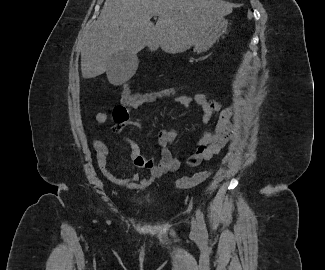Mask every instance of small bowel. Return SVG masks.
Instances as JSON below:
<instances>
[{
  "label": "small bowel",
  "instance_id": "c3829d8e",
  "mask_svg": "<svg viewBox=\"0 0 325 270\" xmlns=\"http://www.w3.org/2000/svg\"><path fill=\"white\" fill-rule=\"evenodd\" d=\"M134 96H147L144 93H137ZM168 97V96H165ZM176 103L183 109H190L193 103H197L202 109L201 125L203 129L196 144L195 151L189 156L187 163L191 166H197L203 161L211 160L229 143L232 137L231 115L230 108L222 110V104L216 100L208 98L203 93L196 94L193 98L179 94L175 97ZM151 103H117L113 109V118L117 125L114 127L115 132H120L124 126L131 124L134 126H141L140 120H131V110H139ZM218 114L215 130L212 131L206 128V125L211 119ZM108 116L100 113L96 116L98 123H104ZM158 143L161 147V158L159 161L155 159L146 158L140 146L133 139L124 137L123 141L130 147V155L128 157L122 156V160L131 161L135 166L148 170V174L141 177L138 173L129 175L122 174L117 176L111 170L108 163V156L110 154V147L101 139H95L93 145L97 152L98 165L103 175L112 183L122 186L130 190H143L150 186L156 179L168 172H175L180 168V160L173 156L168 146L172 144L176 138L177 133L174 130H163L157 134Z\"/></svg>",
  "mask_w": 325,
  "mask_h": 270
}]
</instances>
